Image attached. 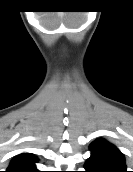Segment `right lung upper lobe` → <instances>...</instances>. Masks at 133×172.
<instances>
[{
  "instance_id": "cb5924a9",
  "label": "right lung upper lobe",
  "mask_w": 133,
  "mask_h": 172,
  "mask_svg": "<svg viewBox=\"0 0 133 172\" xmlns=\"http://www.w3.org/2000/svg\"><path fill=\"white\" fill-rule=\"evenodd\" d=\"M38 161L34 154H19L10 161L6 172H39L35 167Z\"/></svg>"
}]
</instances>
